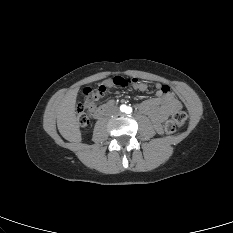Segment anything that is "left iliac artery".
Wrapping results in <instances>:
<instances>
[{"label": "left iliac artery", "mask_w": 233, "mask_h": 233, "mask_svg": "<svg viewBox=\"0 0 233 233\" xmlns=\"http://www.w3.org/2000/svg\"><path fill=\"white\" fill-rule=\"evenodd\" d=\"M132 112V108L131 107H128L127 108V113L130 114Z\"/></svg>", "instance_id": "44dca946"}]
</instances>
